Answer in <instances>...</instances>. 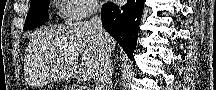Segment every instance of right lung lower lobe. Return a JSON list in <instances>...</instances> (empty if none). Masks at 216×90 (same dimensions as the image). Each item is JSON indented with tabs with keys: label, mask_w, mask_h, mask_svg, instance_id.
I'll return each instance as SVG.
<instances>
[{
	"label": "right lung lower lobe",
	"mask_w": 216,
	"mask_h": 90,
	"mask_svg": "<svg viewBox=\"0 0 216 90\" xmlns=\"http://www.w3.org/2000/svg\"><path fill=\"white\" fill-rule=\"evenodd\" d=\"M143 6L142 0H128L121 7L112 2L106 3L101 10L105 30L121 45L130 59L137 43Z\"/></svg>",
	"instance_id": "1"
}]
</instances>
